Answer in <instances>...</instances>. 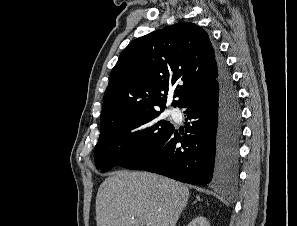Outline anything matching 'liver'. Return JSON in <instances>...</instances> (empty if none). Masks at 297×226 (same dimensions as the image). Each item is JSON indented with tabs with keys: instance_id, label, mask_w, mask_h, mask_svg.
<instances>
[{
	"instance_id": "1",
	"label": "liver",
	"mask_w": 297,
	"mask_h": 226,
	"mask_svg": "<svg viewBox=\"0 0 297 226\" xmlns=\"http://www.w3.org/2000/svg\"><path fill=\"white\" fill-rule=\"evenodd\" d=\"M188 199L187 186L167 177L116 171L98 189L97 226H175Z\"/></svg>"
}]
</instances>
